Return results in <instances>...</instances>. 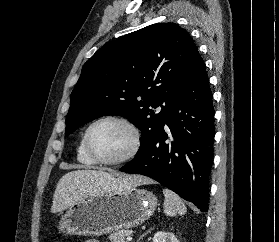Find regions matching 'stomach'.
Returning <instances> with one entry per match:
<instances>
[{
    "instance_id": "stomach-1",
    "label": "stomach",
    "mask_w": 279,
    "mask_h": 242,
    "mask_svg": "<svg viewBox=\"0 0 279 242\" xmlns=\"http://www.w3.org/2000/svg\"><path fill=\"white\" fill-rule=\"evenodd\" d=\"M156 207L157 197L137 187L100 193L70 206L57 228L64 235L102 236L141 225Z\"/></svg>"
}]
</instances>
